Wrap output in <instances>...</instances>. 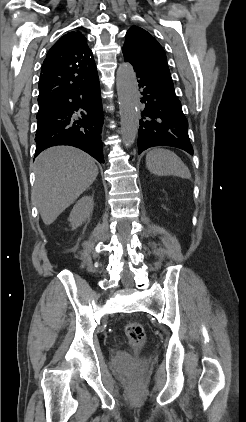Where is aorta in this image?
I'll return each instance as SVG.
<instances>
[{
    "instance_id": "762f6f07",
    "label": "aorta",
    "mask_w": 246,
    "mask_h": 422,
    "mask_svg": "<svg viewBox=\"0 0 246 422\" xmlns=\"http://www.w3.org/2000/svg\"><path fill=\"white\" fill-rule=\"evenodd\" d=\"M116 86L121 118V134L126 147L136 138L139 126L138 90L134 69L129 63H122L117 69Z\"/></svg>"
}]
</instances>
